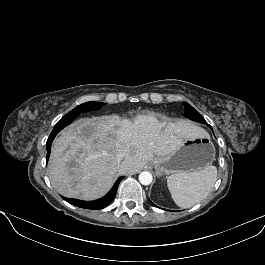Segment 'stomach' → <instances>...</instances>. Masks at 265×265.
Listing matches in <instances>:
<instances>
[{"label":"stomach","instance_id":"stomach-1","mask_svg":"<svg viewBox=\"0 0 265 265\" xmlns=\"http://www.w3.org/2000/svg\"><path fill=\"white\" fill-rule=\"evenodd\" d=\"M214 158V145L205 132L181 139L174 151L152 160V165L158 175L194 172L211 165Z\"/></svg>","mask_w":265,"mask_h":265}]
</instances>
